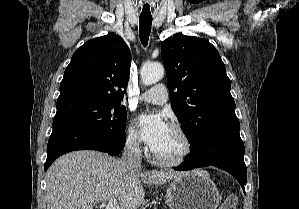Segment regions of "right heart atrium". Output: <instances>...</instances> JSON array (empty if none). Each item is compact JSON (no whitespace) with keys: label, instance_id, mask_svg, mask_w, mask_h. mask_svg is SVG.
<instances>
[{"label":"right heart atrium","instance_id":"d8ad5b80","mask_svg":"<svg viewBox=\"0 0 299 209\" xmlns=\"http://www.w3.org/2000/svg\"><path fill=\"white\" fill-rule=\"evenodd\" d=\"M126 145L134 152L141 149V141L138 132L133 126H129L126 132Z\"/></svg>","mask_w":299,"mask_h":209}]
</instances>
